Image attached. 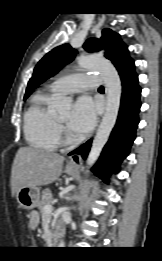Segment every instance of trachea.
I'll return each instance as SVG.
<instances>
[{
    "label": "trachea",
    "instance_id": "trachea-1",
    "mask_svg": "<svg viewBox=\"0 0 162 261\" xmlns=\"http://www.w3.org/2000/svg\"><path fill=\"white\" fill-rule=\"evenodd\" d=\"M99 89H100V90H103L104 88L101 86Z\"/></svg>",
    "mask_w": 162,
    "mask_h": 261
}]
</instances>
